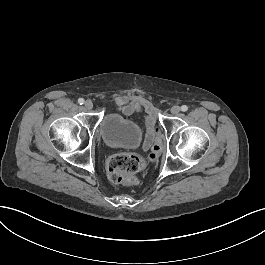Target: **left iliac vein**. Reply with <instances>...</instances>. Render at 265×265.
<instances>
[{
    "label": "left iliac vein",
    "instance_id": "left-iliac-vein-1",
    "mask_svg": "<svg viewBox=\"0 0 265 265\" xmlns=\"http://www.w3.org/2000/svg\"><path fill=\"white\" fill-rule=\"evenodd\" d=\"M179 112H180V107H179V106H177V105L172 106V108H171V113H172L173 115H176V114H178Z\"/></svg>",
    "mask_w": 265,
    "mask_h": 265
}]
</instances>
